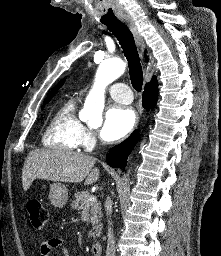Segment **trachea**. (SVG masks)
I'll return each mask as SVG.
<instances>
[{"label": "trachea", "instance_id": "trachea-1", "mask_svg": "<svg viewBox=\"0 0 221 256\" xmlns=\"http://www.w3.org/2000/svg\"><path fill=\"white\" fill-rule=\"evenodd\" d=\"M109 30L116 36L123 53L128 61L130 80L133 88L140 92L143 85L142 66L135 45L134 37L128 27L119 20L105 23Z\"/></svg>", "mask_w": 221, "mask_h": 256}]
</instances>
